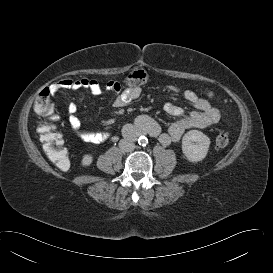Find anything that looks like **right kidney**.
<instances>
[{
	"label": "right kidney",
	"instance_id": "ca27d5eb",
	"mask_svg": "<svg viewBox=\"0 0 273 273\" xmlns=\"http://www.w3.org/2000/svg\"><path fill=\"white\" fill-rule=\"evenodd\" d=\"M91 162H92V156L91 155H85L84 157H83V164L84 165H90L91 164Z\"/></svg>",
	"mask_w": 273,
	"mask_h": 273
}]
</instances>
